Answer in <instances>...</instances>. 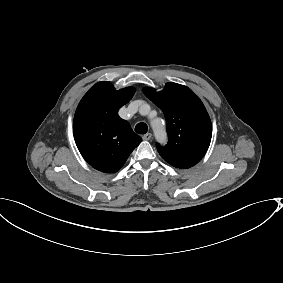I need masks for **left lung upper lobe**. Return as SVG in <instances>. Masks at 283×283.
Returning a JSON list of instances; mask_svg holds the SVG:
<instances>
[{"label": "left lung upper lobe", "mask_w": 283, "mask_h": 283, "mask_svg": "<svg viewBox=\"0 0 283 283\" xmlns=\"http://www.w3.org/2000/svg\"><path fill=\"white\" fill-rule=\"evenodd\" d=\"M143 93L165 115L169 140L164 147L157 144L161 157L181 169L196 165L212 136L211 120L201 100L188 87L172 82L159 92L145 87Z\"/></svg>", "instance_id": "5c2ea615"}]
</instances>
